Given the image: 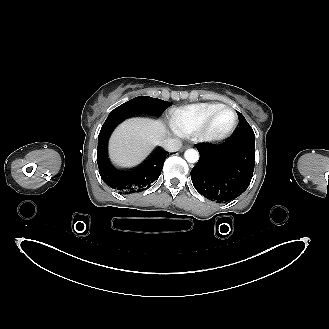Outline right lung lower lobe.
<instances>
[{"label": "right lung lower lobe", "mask_w": 329, "mask_h": 329, "mask_svg": "<svg viewBox=\"0 0 329 329\" xmlns=\"http://www.w3.org/2000/svg\"><path fill=\"white\" fill-rule=\"evenodd\" d=\"M120 121H105L99 136L97 163L103 181L121 193H135L147 189L161 174L164 159L168 154L162 148L155 149L151 156L132 171L116 170L107 155V141L113 128Z\"/></svg>", "instance_id": "98d812e1"}]
</instances>
